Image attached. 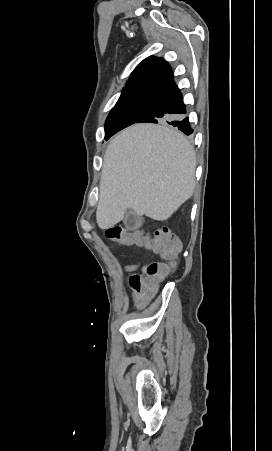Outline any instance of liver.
Instances as JSON below:
<instances>
[{
    "instance_id": "liver-1",
    "label": "liver",
    "mask_w": 272,
    "mask_h": 451,
    "mask_svg": "<svg viewBox=\"0 0 272 451\" xmlns=\"http://www.w3.org/2000/svg\"><path fill=\"white\" fill-rule=\"evenodd\" d=\"M196 156L178 130L135 124L112 138L104 156L97 224L114 226L126 210L168 220L195 188Z\"/></svg>"
}]
</instances>
